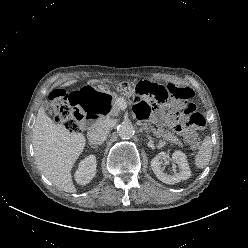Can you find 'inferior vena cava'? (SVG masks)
I'll use <instances>...</instances> for the list:
<instances>
[{
	"mask_svg": "<svg viewBox=\"0 0 248 248\" xmlns=\"http://www.w3.org/2000/svg\"><path fill=\"white\" fill-rule=\"evenodd\" d=\"M111 131V123L108 120H101L93 124L87 132L88 140L93 145L102 144Z\"/></svg>",
	"mask_w": 248,
	"mask_h": 248,
	"instance_id": "inferior-vena-cava-1",
	"label": "inferior vena cava"
}]
</instances>
